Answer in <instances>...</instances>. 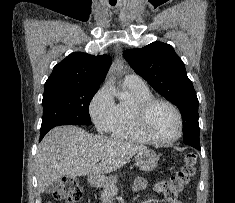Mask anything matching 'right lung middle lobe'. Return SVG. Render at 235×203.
<instances>
[{
	"mask_svg": "<svg viewBox=\"0 0 235 203\" xmlns=\"http://www.w3.org/2000/svg\"><path fill=\"white\" fill-rule=\"evenodd\" d=\"M99 86L59 85L47 87L43 95L40 131L59 125H90L88 107Z\"/></svg>",
	"mask_w": 235,
	"mask_h": 203,
	"instance_id": "obj_1",
	"label": "right lung middle lobe"
}]
</instances>
